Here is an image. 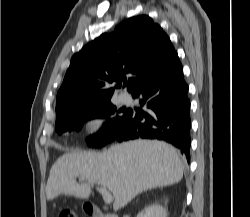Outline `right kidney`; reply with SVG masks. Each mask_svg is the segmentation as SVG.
<instances>
[{
  "mask_svg": "<svg viewBox=\"0 0 250 217\" xmlns=\"http://www.w3.org/2000/svg\"><path fill=\"white\" fill-rule=\"evenodd\" d=\"M137 217H167V211L163 206L153 204L139 212Z\"/></svg>",
  "mask_w": 250,
  "mask_h": 217,
  "instance_id": "right-kidney-1",
  "label": "right kidney"
}]
</instances>
